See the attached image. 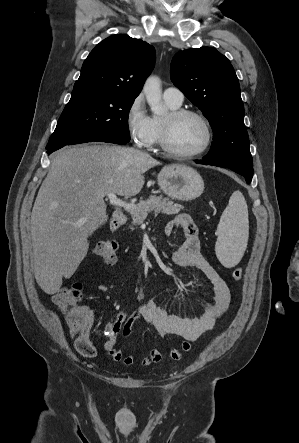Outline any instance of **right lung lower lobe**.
<instances>
[{
    "instance_id": "98d812e1",
    "label": "right lung lower lobe",
    "mask_w": 299,
    "mask_h": 443,
    "mask_svg": "<svg viewBox=\"0 0 299 443\" xmlns=\"http://www.w3.org/2000/svg\"><path fill=\"white\" fill-rule=\"evenodd\" d=\"M92 141L108 142L115 144H126L129 142L114 135H95V136L82 137L66 143H57L52 145L48 144L46 149L47 153L51 154L52 152L64 147L65 145H73V144L86 143Z\"/></svg>"
}]
</instances>
